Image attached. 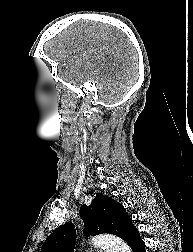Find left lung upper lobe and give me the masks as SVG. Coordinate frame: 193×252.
<instances>
[{"label": "left lung upper lobe", "mask_w": 193, "mask_h": 252, "mask_svg": "<svg viewBox=\"0 0 193 252\" xmlns=\"http://www.w3.org/2000/svg\"><path fill=\"white\" fill-rule=\"evenodd\" d=\"M80 216L85 223L86 235L111 233L127 242L135 228L123 205L107 195L96 194L89 206L82 205ZM76 234L73 223L58 227L43 243L41 252H74Z\"/></svg>", "instance_id": "1"}]
</instances>
